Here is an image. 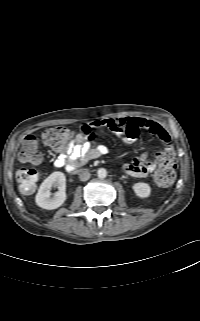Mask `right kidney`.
I'll use <instances>...</instances> for the list:
<instances>
[{"mask_svg": "<svg viewBox=\"0 0 200 321\" xmlns=\"http://www.w3.org/2000/svg\"><path fill=\"white\" fill-rule=\"evenodd\" d=\"M57 187L58 191L51 193V188ZM66 177L62 172H53L40 185L35 197L36 204L47 210L60 207L66 200Z\"/></svg>", "mask_w": 200, "mask_h": 321, "instance_id": "ca27d5eb", "label": "right kidney"}]
</instances>
